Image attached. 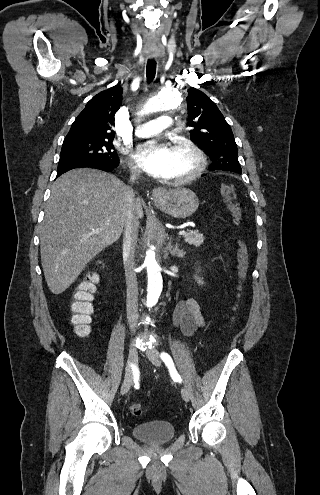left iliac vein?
Masks as SVG:
<instances>
[{
	"label": "left iliac vein",
	"mask_w": 320,
	"mask_h": 495,
	"mask_svg": "<svg viewBox=\"0 0 320 495\" xmlns=\"http://www.w3.org/2000/svg\"><path fill=\"white\" fill-rule=\"evenodd\" d=\"M147 357L149 360L157 367L161 366V358L159 351L155 348H152L150 350H147L146 352ZM181 396L184 401L188 402L190 400V392L187 388L182 387L181 388Z\"/></svg>",
	"instance_id": "4c4485c4"
}]
</instances>
